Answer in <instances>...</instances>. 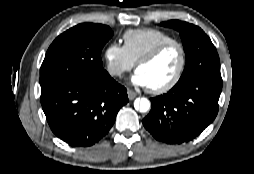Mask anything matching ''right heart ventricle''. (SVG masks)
Returning <instances> with one entry per match:
<instances>
[{
	"label": "right heart ventricle",
	"instance_id": "1",
	"mask_svg": "<svg viewBox=\"0 0 254 174\" xmlns=\"http://www.w3.org/2000/svg\"><path fill=\"white\" fill-rule=\"evenodd\" d=\"M171 40H175L171 34L155 28L132 29L123 34L124 48L134 63L156 46Z\"/></svg>",
	"mask_w": 254,
	"mask_h": 174
}]
</instances>
